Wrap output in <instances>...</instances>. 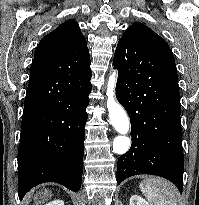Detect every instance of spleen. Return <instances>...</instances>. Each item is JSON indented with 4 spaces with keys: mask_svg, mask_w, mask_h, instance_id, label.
<instances>
[{
    "mask_svg": "<svg viewBox=\"0 0 199 205\" xmlns=\"http://www.w3.org/2000/svg\"><path fill=\"white\" fill-rule=\"evenodd\" d=\"M139 187L151 205H177L176 189L164 179L148 177Z\"/></svg>",
    "mask_w": 199,
    "mask_h": 205,
    "instance_id": "3e777b00",
    "label": "spleen"
}]
</instances>
